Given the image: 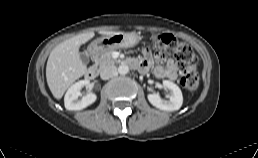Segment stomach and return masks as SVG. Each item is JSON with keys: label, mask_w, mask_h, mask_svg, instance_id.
Listing matches in <instances>:
<instances>
[{"label": "stomach", "mask_w": 258, "mask_h": 158, "mask_svg": "<svg viewBox=\"0 0 258 158\" xmlns=\"http://www.w3.org/2000/svg\"><path fill=\"white\" fill-rule=\"evenodd\" d=\"M141 40L138 33H118L110 36H104L94 40L90 47L97 53H104L111 49L127 48L137 45Z\"/></svg>", "instance_id": "obj_1"}]
</instances>
